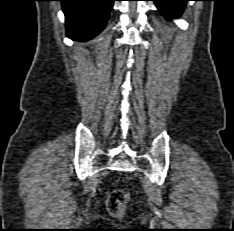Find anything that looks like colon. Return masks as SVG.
Wrapping results in <instances>:
<instances>
[{
    "label": "colon",
    "instance_id": "5ec220e1",
    "mask_svg": "<svg viewBox=\"0 0 234 231\" xmlns=\"http://www.w3.org/2000/svg\"><path fill=\"white\" fill-rule=\"evenodd\" d=\"M128 200L129 194L126 191L120 189L112 191L107 201L108 211L112 216L120 217Z\"/></svg>",
    "mask_w": 234,
    "mask_h": 231
}]
</instances>
